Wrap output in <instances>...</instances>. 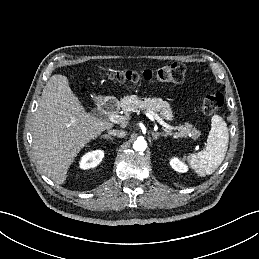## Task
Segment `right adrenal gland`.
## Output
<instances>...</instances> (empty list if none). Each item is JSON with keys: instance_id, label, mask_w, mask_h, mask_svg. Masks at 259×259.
Instances as JSON below:
<instances>
[{"instance_id": "right-adrenal-gland-1", "label": "right adrenal gland", "mask_w": 259, "mask_h": 259, "mask_svg": "<svg viewBox=\"0 0 259 259\" xmlns=\"http://www.w3.org/2000/svg\"><path fill=\"white\" fill-rule=\"evenodd\" d=\"M101 138H104V139H113L110 135L108 134H105V135H102Z\"/></svg>"}]
</instances>
